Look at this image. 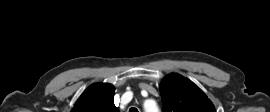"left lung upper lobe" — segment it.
<instances>
[{
  "label": "left lung upper lobe",
  "instance_id": "obj_1",
  "mask_svg": "<svg viewBox=\"0 0 270 112\" xmlns=\"http://www.w3.org/2000/svg\"><path fill=\"white\" fill-rule=\"evenodd\" d=\"M160 95L163 112H216L207 96L180 74H170L163 79Z\"/></svg>",
  "mask_w": 270,
  "mask_h": 112
}]
</instances>
